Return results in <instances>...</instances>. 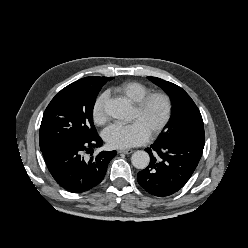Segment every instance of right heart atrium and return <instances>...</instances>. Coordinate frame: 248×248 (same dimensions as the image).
Listing matches in <instances>:
<instances>
[{"instance_id": "obj_1", "label": "right heart atrium", "mask_w": 248, "mask_h": 248, "mask_svg": "<svg viewBox=\"0 0 248 248\" xmlns=\"http://www.w3.org/2000/svg\"><path fill=\"white\" fill-rule=\"evenodd\" d=\"M106 99H107V94L102 93L97 97L92 108L93 121L98 125H103L108 120V116L105 110Z\"/></svg>"}]
</instances>
